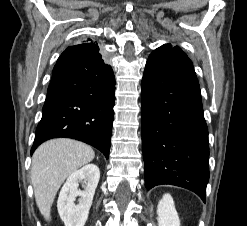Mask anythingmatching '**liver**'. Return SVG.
I'll use <instances>...</instances> for the list:
<instances>
[{"label": "liver", "mask_w": 247, "mask_h": 226, "mask_svg": "<svg viewBox=\"0 0 247 226\" xmlns=\"http://www.w3.org/2000/svg\"><path fill=\"white\" fill-rule=\"evenodd\" d=\"M95 157L93 149L72 139H53L40 145L33 154L31 181L36 204L50 221L56 193L68 176Z\"/></svg>", "instance_id": "6515ba94"}]
</instances>
